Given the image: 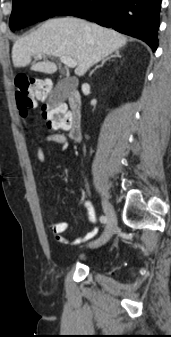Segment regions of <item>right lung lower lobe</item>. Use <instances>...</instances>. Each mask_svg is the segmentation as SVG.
<instances>
[{"mask_svg":"<svg viewBox=\"0 0 171 337\" xmlns=\"http://www.w3.org/2000/svg\"><path fill=\"white\" fill-rule=\"evenodd\" d=\"M161 0H75L56 15H73L158 47Z\"/></svg>","mask_w":171,"mask_h":337,"instance_id":"1","label":"right lung lower lobe"}]
</instances>
